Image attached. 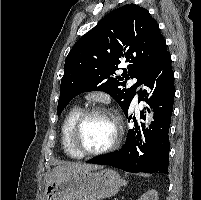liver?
<instances>
[{"label": "liver", "mask_w": 201, "mask_h": 200, "mask_svg": "<svg viewBox=\"0 0 201 200\" xmlns=\"http://www.w3.org/2000/svg\"><path fill=\"white\" fill-rule=\"evenodd\" d=\"M98 169L97 165H88L81 163H68L54 167L46 180V187L57 179L73 173L91 171Z\"/></svg>", "instance_id": "1"}]
</instances>
